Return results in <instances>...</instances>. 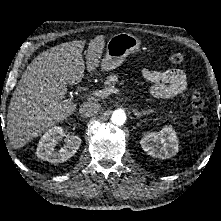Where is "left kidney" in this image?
I'll list each match as a JSON object with an SVG mask.
<instances>
[{
    "label": "left kidney",
    "mask_w": 221,
    "mask_h": 221,
    "mask_svg": "<svg viewBox=\"0 0 221 221\" xmlns=\"http://www.w3.org/2000/svg\"><path fill=\"white\" fill-rule=\"evenodd\" d=\"M140 144L148 155L158 159L171 158L179 150L178 138L171 125L163 127L160 132L145 134Z\"/></svg>",
    "instance_id": "1"
}]
</instances>
